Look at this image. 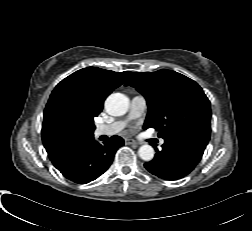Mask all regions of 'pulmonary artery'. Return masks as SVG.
<instances>
[{"label":"pulmonary artery","mask_w":252,"mask_h":231,"mask_svg":"<svg viewBox=\"0 0 252 231\" xmlns=\"http://www.w3.org/2000/svg\"><path fill=\"white\" fill-rule=\"evenodd\" d=\"M147 102L146 99L141 95H136L132 98L128 119L139 118L146 110ZM126 126V121H115L106 125H98L95 129V134L97 136L107 135L111 136L119 133ZM160 143L163 144L164 140H160Z\"/></svg>","instance_id":"obj_1"}]
</instances>
